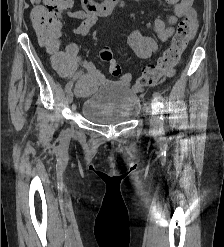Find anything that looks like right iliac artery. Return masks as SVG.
Wrapping results in <instances>:
<instances>
[{"label":"right iliac artery","instance_id":"right-iliac-artery-1","mask_svg":"<svg viewBox=\"0 0 224 247\" xmlns=\"http://www.w3.org/2000/svg\"><path fill=\"white\" fill-rule=\"evenodd\" d=\"M71 88H72V82H68V83L66 84V86H65V90H66V91H69V90H71Z\"/></svg>","mask_w":224,"mask_h":247}]
</instances>
